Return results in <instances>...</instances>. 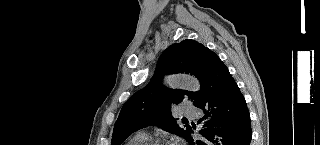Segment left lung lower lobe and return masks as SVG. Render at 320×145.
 Instances as JSON below:
<instances>
[{
  "mask_svg": "<svg viewBox=\"0 0 320 145\" xmlns=\"http://www.w3.org/2000/svg\"><path fill=\"white\" fill-rule=\"evenodd\" d=\"M195 106L203 111L198 121L203 137L194 140L191 128L185 139L189 145L250 144L251 121L245 98L220 58L205 72Z\"/></svg>",
  "mask_w": 320,
  "mask_h": 145,
  "instance_id": "obj_1",
  "label": "left lung lower lobe"
}]
</instances>
